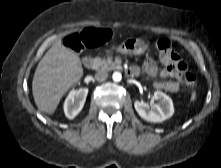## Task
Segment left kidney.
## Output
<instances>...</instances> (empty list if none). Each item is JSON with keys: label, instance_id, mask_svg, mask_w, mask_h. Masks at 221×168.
<instances>
[{"label": "left kidney", "instance_id": "obj_1", "mask_svg": "<svg viewBox=\"0 0 221 168\" xmlns=\"http://www.w3.org/2000/svg\"><path fill=\"white\" fill-rule=\"evenodd\" d=\"M154 99L159 104L150 107L148 104L140 101L134 102V107L141 118L148 122H163L170 118L174 113L172 99L161 91L154 92Z\"/></svg>", "mask_w": 221, "mask_h": 168}]
</instances>
